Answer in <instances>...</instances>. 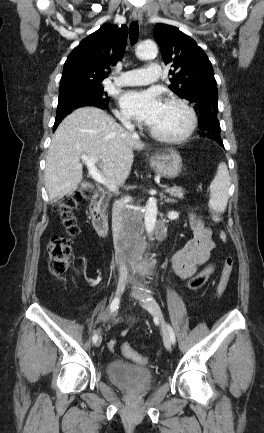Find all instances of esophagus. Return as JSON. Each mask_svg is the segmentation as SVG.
Here are the masks:
<instances>
[{"instance_id": "esophagus-1", "label": "esophagus", "mask_w": 264, "mask_h": 433, "mask_svg": "<svg viewBox=\"0 0 264 433\" xmlns=\"http://www.w3.org/2000/svg\"><path fill=\"white\" fill-rule=\"evenodd\" d=\"M132 17L134 20L142 21V12L140 9L135 8L132 12Z\"/></svg>"}]
</instances>
